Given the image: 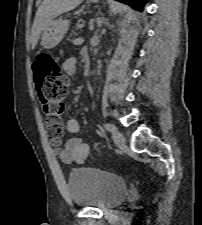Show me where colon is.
<instances>
[{
  "mask_svg": "<svg viewBox=\"0 0 202 225\" xmlns=\"http://www.w3.org/2000/svg\"><path fill=\"white\" fill-rule=\"evenodd\" d=\"M33 73L48 136L53 146L60 147L65 135L62 103L69 90L68 79L58 60L48 55L34 61Z\"/></svg>",
  "mask_w": 202,
  "mask_h": 225,
  "instance_id": "1",
  "label": "colon"
}]
</instances>
